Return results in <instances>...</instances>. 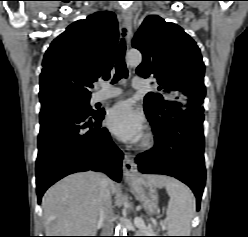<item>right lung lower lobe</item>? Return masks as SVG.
<instances>
[{"mask_svg":"<svg viewBox=\"0 0 248 237\" xmlns=\"http://www.w3.org/2000/svg\"><path fill=\"white\" fill-rule=\"evenodd\" d=\"M104 114L41 110L36 160L38 202L52 184L75 172L103 171L120 182L123 153L108 130L100 126Z\"/></svg>","mask_w":248,"mask_h":237,"instance_id":"right-lung-lower-lobe-1","label":"right lung lower lobe"}]
</instances>
